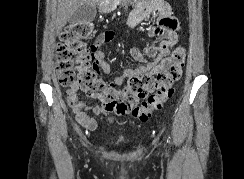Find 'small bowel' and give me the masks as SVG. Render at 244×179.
<instances>
[{
	"label": "small bowel",
	"instance_id": "small-bowel-1",
	"mask_svg": "<svg viewBox=\"0 0 244 179\" xmlns=\"http://www.w3.org/2000/svg\"><path fill=\"white\" fill-rule=\"evenodd\" d=\"M149 17L156 19V25L148 31L149 36L158 38L160 41L151 44L143 49L131 47L129 53L132 59L139 62L135 68H128L121 75L113 78L111 86H119L124 81L137 74H144L155 67L163 58H165L170 49L178 42V21L173 15L170 5L163 0H137L133 3V9L129 14L127 26L136 27L139 23ZM115 33L106 31L98 34L90 45V52L93 55L95 64L104 74L109 75L112 72L111 65L105 58L102 47L113 40ZM66 101L77 121L89 130L96 128V121L90 117L87 111L95 115L105 116L109 123L115 124V116L108 114L101 105L86 106L79 98V88L69 89L66 92Z\"/></svg>",
	"mask_w": 244,
	"mask_h": 179
}]
</instances>
